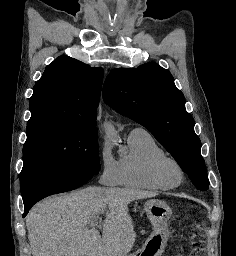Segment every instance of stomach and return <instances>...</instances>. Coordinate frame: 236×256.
<instances>
[{"label": "stomach", "mask_w": 236, "mask_h": 256, "mask_svg": "<svg viewBox=\"0 0 236 256\" xmlns=\"http://www.w3.org/2000/svg\"><path fill=\"white\" fill-rule=\"evenodd\" d=\"M153 231L141 250L125 256H161L168 241V221L172 215L170 207L161 200H149L144 204Z\"/></svg>", "instance_id": "stomach-1"}]
</instances>
